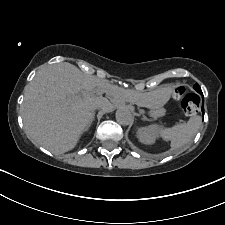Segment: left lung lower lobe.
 Segmentation results:
<instances>
[{
    "mask_svg": "<svg viewBox=\"0 0 225 225\" xmlns=\"http://www.w3.org/2000/svg\"><path fill=\"white\" fill-rule=\"evenodd\" d=\"M199 94L203 95L202 92H200ZM202 112L204 113V104H202Z\"/></svg>",
    "mask_w": 225,
    "mask_h": 225,
    "instance_id": "left-lung-lower-lobe-1",
    "label": "left lung lower lobe"
}]
</instances>
